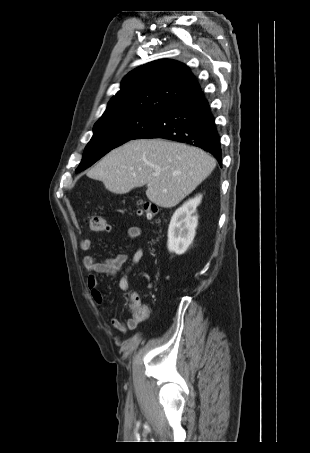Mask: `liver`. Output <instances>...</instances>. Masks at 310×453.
I'll return each instance as SVG.
<instances>
[{
    "label": "liver",
    "mask_w": 310,
    "mask_h": 453,
    "mask_svg": "<svg viewBox=\"0 0 310 453\" xmlns=\"http://www.w3.org/2000/svg\"><path fill=\"white\" fill-rule=\"evenodd\" d=\"M216 166L203 150L163 139L129 141L104 156L88 173L115 194L147 185V198L163 208L176 206ZM157 174V176H155Z\"/></svg>",
    "instance_id": "obj_1"
}]
</instances>
